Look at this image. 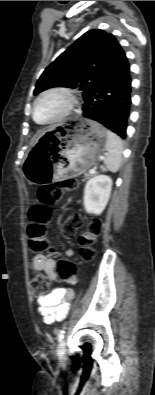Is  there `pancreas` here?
<instances>
[{
  "label": "pancreas",
  "instance_id": "cf45deb5",
  "mask_svg": "<svg viewBox=\"0 0 155 395\" xmlns=\"http://www.w3.org/2000/svg\"><path fill=\"white\" fill-rule=\"evenodd\" d=\"M92 176V174H85V178H90Z\"/></svg>",
  "mask_w": 155,
  "mask_h": 395
}]
</instances>
